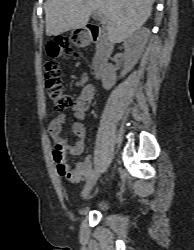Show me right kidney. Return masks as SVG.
Returning a JSON list of instances; mask_svg holds the SVG:
<instances>
[{
    "mask_svg": "<svg viewBox=\"0 0 194 250\" xmlns=\"http://www.w3.org/2000/svg\"><path fill=\"white\" fill-rule=\"evenodd\" d=\"M148 36V30H139L124 42L126 60L120 78H123L136 65L144 51ZM116 81V70L113 65L108 64L102 75V86L105 90H110L116 84Z\"/></svg>",
    "mask_w": 194,
    "mask_h": 250,
    "instance_id": "right-kidney-1",
    "label": "right kidney"
}]
</instances>
